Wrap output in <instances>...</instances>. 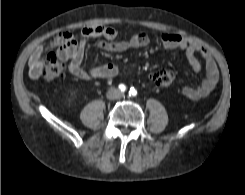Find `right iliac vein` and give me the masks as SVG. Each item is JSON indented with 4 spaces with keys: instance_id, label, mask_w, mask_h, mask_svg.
Listing matches in <instances>:
<instances>
[{
    "instance_id": "63e3f726",
    "label": "right iliac vein",
    "mask_w": 245,
    "mask_h": 195,
    "mask_svg": "<svg viewBox=\"0 0 245 195\" xmlns=\"http://www.w3.org/2000/svg\"><path fill=\"white\" fill-rule=\"evenodd\" d=\"M108 98H114L116 96L115 90H110L107 94Z\"/></svg>"
}]
</instances>
